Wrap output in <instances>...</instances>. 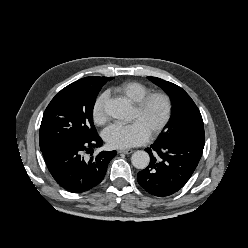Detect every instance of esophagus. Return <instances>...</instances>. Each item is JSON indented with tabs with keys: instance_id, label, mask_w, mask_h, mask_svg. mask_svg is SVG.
Instances as JSON below:
<instances>
[{
	"instance_id": "esophagus-1",
	"label": "esophagus",
	"mask_w": 248,
	"mask_h": 248,
	"mask_svg": "<svg viewBox=\"0 0 248 248\" xmlns=\"http://www.w3.org/2000/svg\"><path fill=\"white\" fill-rule=\"evenodd\" d=\"M118 153H123V154L129 155V154L133 153V150L132 149H121L118 151Z\"/></svg>"
}]
</instances>
